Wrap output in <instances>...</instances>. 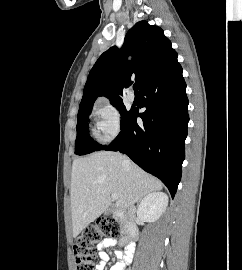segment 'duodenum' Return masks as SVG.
Masks as SVG:
<instances>
[{"label": "duodenum", "mask_w": 242, "mask_h": 270, "mask_svg": "<svg viewBox=\"0 0 242 270\" xmlns=\"http://www.w3.org/2000/svg\"><path fill=\"white\" fill-rule=\"evenodd\" d=\"M112 215L124 223L125 225V238L122 240V244L127 243L129 251H133L132 242L138 238V230L133 219L132 212H124L122 210L116 209L113 211Z\"/></svg>", "instance_id": "duodenum-1"}]
</instances>
